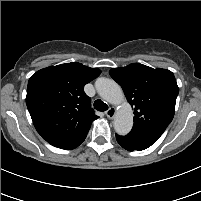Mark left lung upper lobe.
Wrapping results in <instances>:
<instances>
[{
	"label": "left lung upper lobe",
	"mask_w": 201,
	"mask_h": 201,
	"mask_svg": "<svg viewBox=\"0 0 201 201\" xmlns=\"http://www.w3.org/2000/svg\"><path fill=\"white\" fill-rule=\"evenodd\" d=\"M134 108L132 131L162 135L171 123L179 89L174 74L166 69L133 63L110 70Z\"/></svg>",
	"instance_id": "1"
}]
</instances>
